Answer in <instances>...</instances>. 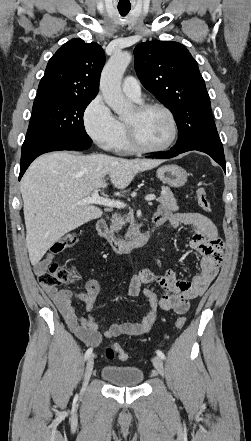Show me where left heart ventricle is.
<instances>
[{
  "mask_svg": "<svg viewBox=\"0 0 251 441\" xmlns=\"http://www.w3.org/2000/svg\"><path fill=\"white\" fill-rule=\"evenodd\" d=\"M125 120L134 124L140 139L147 146H162L171 137V122L162 110L150 109L138 114L133 108Z\"/></svg>",
  "mask_w": 251,
  "mask_h": 441,
  "instance_id": "1",
  "label": "left heart ventricle"
}]
</instances>
